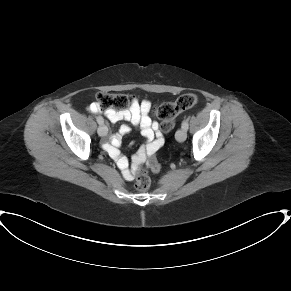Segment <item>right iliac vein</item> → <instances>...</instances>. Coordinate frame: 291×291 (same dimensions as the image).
I'll return each instance as SVG.
<instances>
[{
    "mask_svg": "<svg viewBox=\"0 0 291 291\" xmlns=\"http://www.w3.org/2000/svg\"><path fill=\"white\" fill-rule=\"evenodd\" d=\"M97 132H98L99 136H106L108 133V129L104 124H101L98 127Z\"/></svg>",
    "mask_w": 291,
    "mask_h": 291,
    "instance_id": "1",
    "label": "right iliac vein"
}]
</instances>
